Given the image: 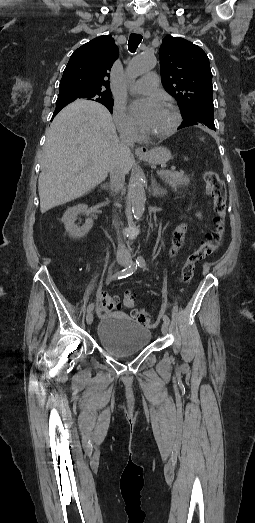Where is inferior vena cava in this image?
Returning <instances> with one entry per match:
<instances>
[{
	"label": "inferior vena cava",
	"instance_id": "602c4592",
	"mask_svg": "<svg viewBox=\"0 0 255 523\" xmlns=\"http://www.w3.org/2000/svg\"><path fill=\"white\" fill-rule=\"evenodd\" d=\"M120 138L121 144L116 154L117 158L110 170L112 194H118V192L124 188L126 174L125 164L130 160V148H132L135 140L133 130H129V128L120 130ZM115 226L118 230V222H115ZM118 240V252H126L125 244H123L120 238H118Z\"/></svg>",
	"mask_w": 255,
	"mask_h": 523
}]
</instances>
